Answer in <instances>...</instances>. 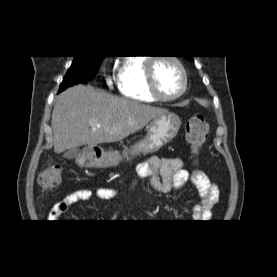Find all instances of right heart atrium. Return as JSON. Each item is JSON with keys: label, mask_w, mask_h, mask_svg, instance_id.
I'll list each match as a JSON object with an SVG mask.
<instances>
[{"label": "right heart atrium", "mask_w": 277, "mask_h": 277, "mask_svg": "<svg viewBox=\"0 0 277 277\" xmlns=\"http://www.w3.org/2000/svg\"><path fill=\"white\" fill-rule=\"evenodd\" d=\"M106 82H107V84H112V80L110 79V78H106Z\"/></svg>", "instance_id": "right-heart-atrium-1"}]
</instances>
